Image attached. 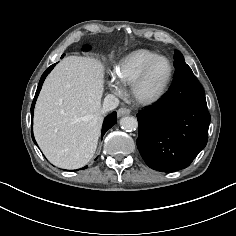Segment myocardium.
I'll return each mask as SVG.
<instances>
[{"label":"myocardium","instance_id":"myocardium-1","mask_svg":"<svg viewBox=\"0 0 236 236\" xmlns=\"http://www.w3.org/2000/svg\"><path fill=\"white\" fill-rule=\"evenodd\" d=\"M160 60H166L169 64V73L166 82L159 92L154 95H147L142 92V85L145 82L149 72L153 66ZM174 76V66L172 61L166 57L159 55L152 59L139 73L134 82L132 83V93L134 98L142 104H153L160 101L168 92Z\"/></svg>","mask_w":236,"mask_h":236}]
</instances>
